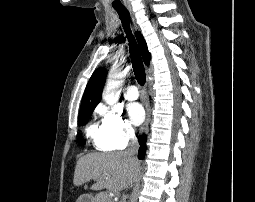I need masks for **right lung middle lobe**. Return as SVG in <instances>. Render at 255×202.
Wrapping results in <instances>:
<instances>
[{
    "mask_svg": "<svg viewBox=\"0 0 255 202\" xmlns=\"http://www.w3.org/2000/svg\"><path fill=\"white\" fill-rule=\"evenodd\" d=\"M94 108H84L80 110L79 113V122L80 125H84L92 114Z\"/></svg>",
    "mask_w": 255,
    "mask_h": 202,
    "instance_id": "1",
    "label": "right lung middle lobe"
}]
</instances>
